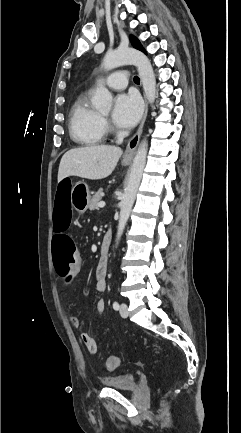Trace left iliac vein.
<instances>
[{
  "mask_svg": "<svg viewBox=\"0 0 241 433\" xmlns=\"http://www.w3.org/2000/svg\"><path fill=\"white\" fill-rule=\"evenodd\" d=\"M119 312H120V315H121L123 318H126V317L128 316V308H127V305H126L125 303H122V304L120 305V310H119Z\"/></svg>",
  "mask_w": 241,
  "mask_h": 433,
  "instance_id": "left-iliac-vein-1",
  "label": "left iliac vein"
}]
</instances>
